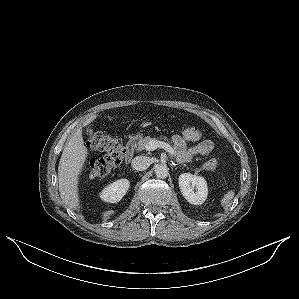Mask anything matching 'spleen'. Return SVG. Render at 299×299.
Wrapping results in <instances>:
<instances>
[{
	"mask_svg": "<svg viewBox=\"0 0 299 299\" xmlns=\"http://www.w3.org/2000/svg\"><path fill=\"white\" fill-rule=\"evenodd\" d=\"M235 192L233 190H230L224 194V196L221 199V205L227 209L234 198Z\"/></svg>",
	"mask_w": 299,
	"mask_h": 299,
	"instance_id": "spleen-1",
	"label": "spleen"
}]
</instances>
